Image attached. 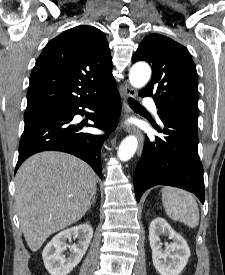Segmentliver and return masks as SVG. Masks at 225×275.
I'll return each mask as SVG.
<instances>
[{
  "label": "liver",
  "instance_id": "1",
  "mask_svg": "<svg viewBox=\"0 0 225 275\" xmlns=\"http://www.w3.org/2000/svg\"><path fill=\"white\" fill-rule=\"evenodd\" d=\"M97 180L87 163L63 152H41L20 166L15 178L16 207L31 251L85 215Z\"/></svg>",
  "mask_w": 225,
  "mask_h": 275
}]
</instances>
